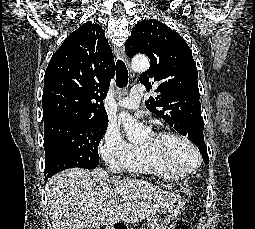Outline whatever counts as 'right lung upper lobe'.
<instances>
[{"label": "right lung upper lobe", "mask_w": 255, "mask_h": 229, "mask_svg": "<svg viewBox=\"0 0 255 229\" xmlns=\"http://www.w3.org/2000/svg\"><path fill=\"white\" fill-rule=\"evenodd\" d=\"M114 77V57L103 29L91 21L53 54L44 76L45 123L108 120L103 100Z\"/></svg>", "instance_id": "right-lung-upper-lobe-1"}]
</instances>
